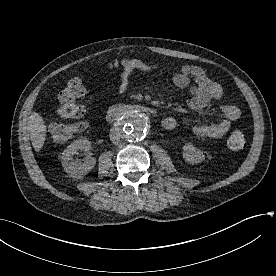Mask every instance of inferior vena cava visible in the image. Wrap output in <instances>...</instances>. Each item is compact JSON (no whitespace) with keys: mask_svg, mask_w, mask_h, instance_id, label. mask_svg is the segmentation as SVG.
Segmentation results:
<instances>
[{"mask_svg":"<svg viewBox=\"0 0 276 276\" xmlns=\"http://www.w3.org/2000/svg\"><path fill=\"white\" fill-rule=\"evenodd\" d=\"M120 138H121V134L119 131L113 129L111 130L110 132V140L115 143V144H118L119 141H120Z\"/></svg>","mask_w":276,"mask_h":276,"instance_id":"inferior-vena-cava-1","label":"inferior vena cava"}]
</instances>
